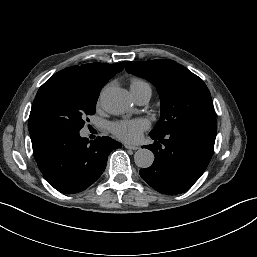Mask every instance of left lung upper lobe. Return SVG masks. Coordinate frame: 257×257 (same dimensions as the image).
<instances>
[{"label": "left lung upper lobe", "instance_id": "obj_1", "mask_svg": "<svg viewBox=\"0 0 257 257\" xmlns=\"http://www.w3.org/2000/svg\"><path fill=\"white\" fill-rule=\"evenodd\" d=\"M126 71L155 85L161 99V116L150 132L167 134L179 127L215 122L211 94L201 78L173 60L130 62Z\"/></svg>", "mask_w": 257, "mask_h": 257}]
</instances>
